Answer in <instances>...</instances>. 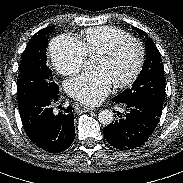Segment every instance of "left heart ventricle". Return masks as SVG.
I'll list each match as a JSON object with an SVG mask.
<instances>
[{
  "label": "left heart ventricle",
  "mask_w": 183,
  "mask_h": 183,
  "mask_svg": "<svg viewBox=\"0 0 183 183\" xmlns=\"http://www.w3.org/2000/svg\"><path fill=\"white\" fill-rule=\"evenodd\" d=\"M139 55V47L135 43H128L109 59L95 58L93 69L104 72L114 84L125 80L132 74Z\"/></svg>",
  "instance_id": "1"
}]
</instances>
